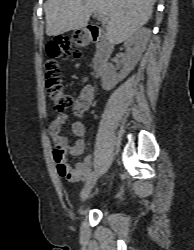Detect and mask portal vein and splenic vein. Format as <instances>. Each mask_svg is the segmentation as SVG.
I'll return each mask as SVG.
<instances>
[{
	"label": "portal vein and splenic vein",
	"mask_w": 194,
	"mask_h": 250,
	"mask_svg": "<svg viewBox=\"0 0 194 250\" xmlns=\"http://www.w3.org/2000/svg\"><path fill=\"white\" fill-rule=\"evenodd\" d=\"M94 15L103 23H107L108 19L107 17H105L104 15H102L101 13H97L95 12Z\"/></svg>",
	"instance_id": "portal-vein-and-splenic-vein-1"
}]
</instances>
